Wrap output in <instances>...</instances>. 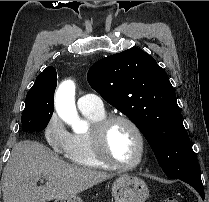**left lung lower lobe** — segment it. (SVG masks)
I'll use <instances>...</instances> for the list:
<instances>
[{
  "label": "left lung lower lobe",
  "instance_id": "1",
  "mask_svg": "<svg viewBox=\"0 0 209 202\" xmlns=\"http://www.w3.org/2000/svg\"><path fill=\"white\" fill-rule=\"evenodd\" d=\"M179 179L188 183L189 185H191L200 194V196L204 200V188H203V184L201 181V175H200L199 171L194 172L188 176L181 177Z\"/></svg>",
  "mask_w": 209,
  "mask_h": 202
}]
</instances>
